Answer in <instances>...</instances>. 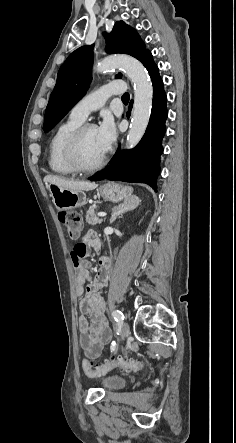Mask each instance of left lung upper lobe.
<instances>
[{
    "label": "left lung upper lobe",
    "mask_w": 236,
    "mask_h": 443,
    "mask_svg": "<svg viewBox=\"0 0 236 443\" xmlns=\"http://www.w3.org/2000/svg\"><path fill=\"white\" fill-rule=\"evenodd\" d=\"M92 46H82L73 51L60 67L57 83L51 93L43 124V130H51L67 112L85 95L92 76ZM107 53L129 54L143 62L149 50L135 29L123 21H117L106 35ZM119 73L116 78H121Z\"/></svg>",
    "instance_id": "obj_1"
}]
</instances>
